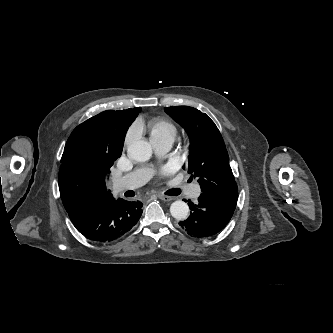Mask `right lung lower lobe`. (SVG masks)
Masks as SVG:
<instances>
[{
  "instance_id": "98d812e1",
  "label": "right lung lower lobe",
  "mask_w": 333,
  "mask_h": 333,
  "mask_svg": "<svg viewBox=\"0 0 333 333\" xmlns=\"http://www.w3.org/2000/svg\"><path fill=\"white\" fill-rule=\"evenodd\" d=\"M142 206L140 201L113 198L68 214L75 228L87 239L104 243L127 233L141 217Z\"/></svg>"
}]
</instances>
